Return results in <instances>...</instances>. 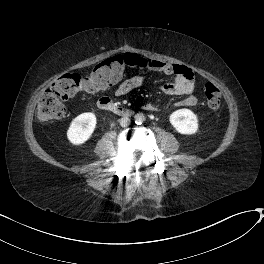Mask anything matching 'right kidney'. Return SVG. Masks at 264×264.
Wrapping results in <instances>:
<instances>
[{
	"mask_svg": "<svg viewBox=\"0 0 264 264\" xmlns=\"http://www.w3.org/2000/svg\"><path fill=\"white\" fill-rule=\"evenodd\" d=\"M96 123L95 114L90 112L80 114L70 124L67 131L68 140L74 145L85 143L94 132Z\"/></svg>",
	"mask_w": 264,
	"mask_h": 264,
	"instance_id": "right-kidney-1",
	"label": "right kidney"
}]
</instances>
